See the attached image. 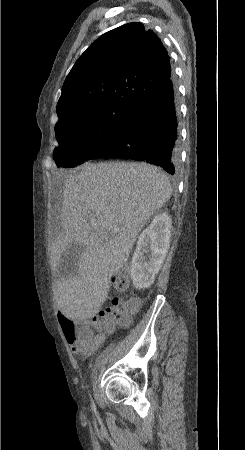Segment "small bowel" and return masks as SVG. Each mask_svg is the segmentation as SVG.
I'll list each match as a JSON object with an SVG mask.
<instances>
[{"instance_id": "1", "label": "small bowel", "mask_w": 245, "mask_h": 450, "mask_svg": "<svg viewBox=\"0 0 245 450\" xmlns=\"http://www.w3.org/2000/svg\"><path fill=\"white\" fill-rule=\"evenodd\" d=\"M77 291L76 286L70 289L67 298L62 299L58 303V312L61 315H68L76 320H84V317L76 315L71 308L69 299L74 297ZM106 340V335L103 332H99L93 338L88 341H78L76 339L70 340L71 349L74 354L83 358L89 357L93 354Z\"/></svg>"}]
</instances>
